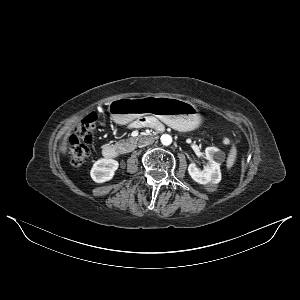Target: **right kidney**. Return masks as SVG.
<instances>
[{"label": "right kidney", "mask_w": 300, "mask_h": 300, "mask_svg": "<svg viewBox=\"0 0 300 300\" xmlns=\"http://www.w3.org/2000/svg\"><path fill=\"white\" fill-rule=\"evenodd\" d=\"M118 166V161L114 159H99L93 164L90 172L91 178L97 183L109 181L113 178Z\"/></svg>", "instance_id": "right-kidney-1"}]
</instances>
